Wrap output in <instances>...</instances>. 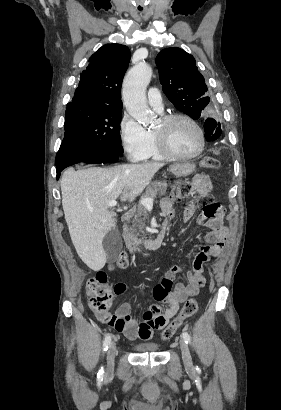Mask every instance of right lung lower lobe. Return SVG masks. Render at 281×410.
<instances>
[{
	"mask_svg": "<svg viewBox=\"0 0 281 410\" xmlns=\"http://www.w3.org/2000/svg\"><path fill=\"white\" fill-rule=\"evenodd\" d=\"M119 155L116 154H95V155H77V156H72L69 158L64 159L62 162H60L57 165V179L60 176V172L73 164L79 163V162H85L89 164L93 163H114L118 160Z\"/></svg>",
	"mask_w": 281,
	"mask_h": 410,
	"instance_id": "obj_1",
	"label": "right lung lower lobe"
}]
</instances>
